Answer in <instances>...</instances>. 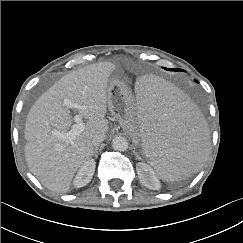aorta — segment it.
<instances>
[{
  "mask_svg": "<svg viewBox=\"0 0 243 243\" xmlns=\"http://www.w3.org/2000/svg\"><path fill=\"white\" fill-rule=\"evenodd\" d=\"M112 147L116 151H125L128 149V141L125 137H115L112 141Z\"/></svg>",
  "mask_w": 243,
  "mask_h": 243,
  "instance_id": "1",
  "label": "aorta"
}]
</instances>
